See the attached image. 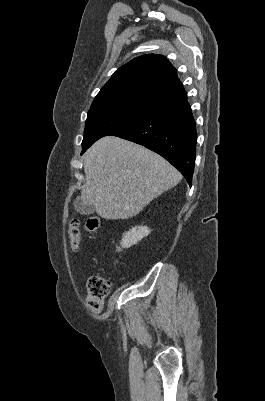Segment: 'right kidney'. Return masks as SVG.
Here are the masks:
<instances>
[{
    "mask_svg": "<svg viewBox=\"0 0 265 401\" xmlns=\"http://www.w3.org/2000/svg\"><path fill=\"white\" fill-rule=\"evenodd\" d=\"M151 231L149 227H133L127 233H124L123 239L120 243L122 249H128L131 245H136L143 237H148Z\"/></svg>",
    "mask_w": 265,
    "mask_h": 401,
    "instance_id": "ca27d5eb",
    "label": "right kidney"
}]
</instances>
